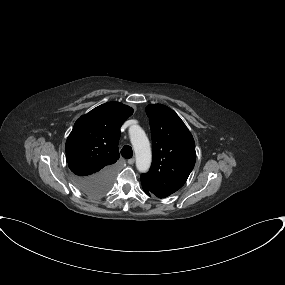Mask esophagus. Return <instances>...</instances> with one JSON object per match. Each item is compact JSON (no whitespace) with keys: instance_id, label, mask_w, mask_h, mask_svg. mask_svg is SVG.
<instances>
[{"instance_id":"1","label":"esophagus","mask_w":285,"mask_h":285,"mask_svg":"<svg viewBox=\"0 0 285 285\" xmlns=\"http://www.w3.org/2000/svg\"><path fill=\"white\" fill-rule=\"evenodd\" d=\"M127 162H128V164L133 165L134 162H135V159H134V158H131V159H129Z\"/></svg>"}]
</instances>
